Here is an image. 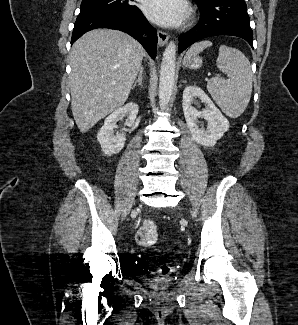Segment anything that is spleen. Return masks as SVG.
Masks as SVG:
<instances>
[{
    "label": "spleen",
    "instance_id": "3e777b00",
    "mask_svg": "<svg viewBox=\"0 0 298 325\" xmlns=\"http://www.w3.org/2000/svg\"><path fill=\"white\" fill-rule=\"evenodd\" d=\"M212 44L211 40L194 42L188 48L185 58L199 54L204 48L212 46ZM216 64L219 70L229 76V80L213 76L207 82V90L227 116L238 118L248 106L251 98L253 82L250 62L238 48L221 44Z\"/></svg>",
    "mask_w": 298,
    "mask_h": 325
}]
</instances>
